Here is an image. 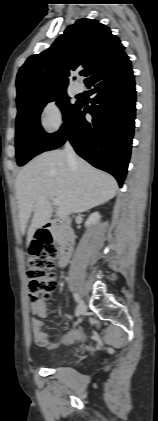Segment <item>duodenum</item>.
<instances>
[{
  "mask_svg": "<svg viewBox=\"0 0 158 421\" xmlns=\"http://www.w3.org/2000/svg\"><path fill=\"white\" fill-rule=\"evenodd\" d=\"M51 230H56L60 238V254L58 258V265L64 266L69 261L75 243L74 231L69 222L65 218H53L45 223L40 230L44 234H49Z\"/></svg>",
  "mask_w": 158,
  "mask_h": 421,
  "instance_id": "duodenum-1",
  "label": "duodenum"
}]
</instances>
